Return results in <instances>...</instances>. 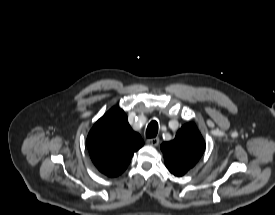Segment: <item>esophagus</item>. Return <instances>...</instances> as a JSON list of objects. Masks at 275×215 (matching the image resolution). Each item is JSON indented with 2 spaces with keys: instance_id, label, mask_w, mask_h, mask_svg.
<instances>
[{
  "instance_id": "obj_1",
  "label": "esophagus",
  "mask_w": 275,
  "mask_h": 215,
  "mask_svg": "<svg viewBox=\"0 0 275 215\" xmlns=\"http://www.w3.org/2000/svg\"><path fill=\"white\" fill-rule=\"evenodd\" d=\"M159 138L158 137H155V138H150V139H147V144L151 145V146H157L159 144Z\"/></svg>"
}]
</instances>
